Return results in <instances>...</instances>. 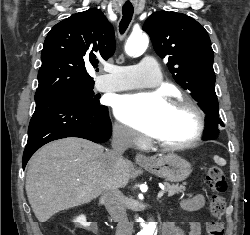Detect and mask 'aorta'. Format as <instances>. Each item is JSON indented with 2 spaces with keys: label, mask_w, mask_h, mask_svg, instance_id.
Returning <instances> with one entry per match:
<instances>
[{
  "label": "aorta",
  "mask_w": 250,
  "mask_h": 235,
  "mask_svg": "<svg viewBox=\"0 0 250 235\" xmlns=\"http://www.w3.org/2000/svg\"><path fill=\"white\" fill-rule=\"evenodd\" d=\"M148 37L142 34H132L126 43L125 51L128 55L133 56L135 54L143 53L148 47ZM138 221H142L139 219ZM156 229L155 222H149L144 224L142 229L137 235H154Z\"/></svg>",
  "instance_id": "762f6f07"
}]
</instances>
